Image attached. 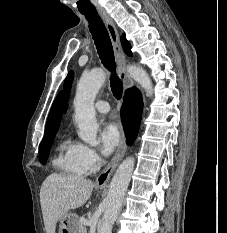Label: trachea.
<instances>
[{
    "label": "trachea",
    "instance_id": "obj_1",
    "mask_svg": "<svg viewBox=\"0 0 227 233\" xmlns=\"http://www.w3.org/2000/svg\"><path fill=\"white\" fill-rule=\"evenodd\" d=\"M81 13L85 15L89 22V29L93 36L102 64L111 72L110 86L112 93L116 99H121L123 84L116 74V63L109 33L97 11Z\"/></svg>",
    "mask_w": 227,
    "mask_h": 233
}]
</instances>
